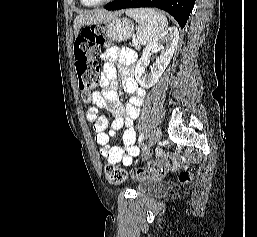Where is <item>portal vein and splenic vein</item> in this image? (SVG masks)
<instances>
[{
	"mask_svg": "<svg viewBox=\"0 0 257 237\" xmlns=\"http://www.w3.org/2000/svg\"><path fill=\"white\" fill-rule=\"evenodd\" d=\"M132 42H133L134 45H137V44H138V40H137V39H133Z\"/></svg>",
	"mask_w": 257,
	"mask_h": 237,
	"instance_id": "18ae733b",
	"label": "portal vein and splenic vein"
}]
</instances>
